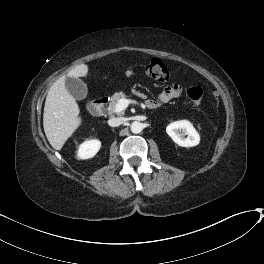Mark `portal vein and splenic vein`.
Here are the masks:
<instances>
[{
  "mask_svg": "<svg viewBox=\"0 0 264 264\" xmlns=\"http://www.w3.org/2000/svg\"><path fill=\"white\" fill-rule=\"evenodd\" d=\"M131 103H135V101L131 100V99L121 98L118 101V103L116 104L114 111L116 113L121 112V111L125 110L128 107V105Z\"/></svg>",
  "mask_w": 264,
  "mask_h": 264,
  "instance_id": "18ae733b",
  "label": "portal vein and splenic vein"
}]
</instances>
